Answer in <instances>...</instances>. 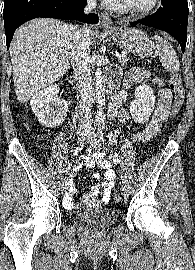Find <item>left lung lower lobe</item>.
<instances>
[{"label": "left lung lower lobe", "instance_id": "1", "mask_svg": "<svg viewBox=\"0 0 195 270\" xmlns=\"http://www.w3.org/2000/svg\"><path fill=\"white\" fill-rule=\"evenodd\" d=\"M162 7L156 13L142 20L131 22V26L140 23L166 31L181 45L184 53L187 42L188 3L187 0H161Z\"/></svg>", "mask_w": 195, "mask_h": 270}]
</instances>
